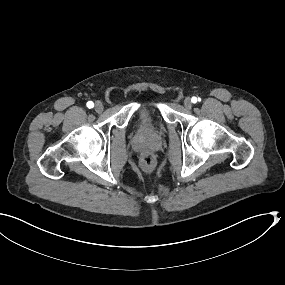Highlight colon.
Masks as SVG:
<instances>
[{
    "instance_id": "colon-1",
    "label": "colon",
    "mask_w": 285,
    "mask_h": 285,
    "mask_svg": "<svg viewBox=\"0 0 285 285\" xmlns=\"http://www.w3.org/2000/svg\"><path fill=\"white\" fill-rule=\"evenodd\" d=\"M155 163V158L151 154H144L140 159V166L146 172H150L154 168Z\"/></svg>"
}]
</instances>
